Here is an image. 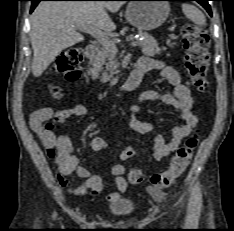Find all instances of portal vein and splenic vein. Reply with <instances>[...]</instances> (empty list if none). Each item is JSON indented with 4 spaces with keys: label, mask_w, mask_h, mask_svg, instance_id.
Masks as SVG:
<instances>
[{
    "label": "portal vein and splenic vein",
    "mask_w": 234,
    "mask_h": 231,
    "mask_svg": "<svg viewBox=\"0 0 234 231\" xmlns=\"http://www.w3.org/2000/svg\"><path fill=\"white\" fill-rule=\"evenodd\" d=\"M77 28L80 29L82 32H86L91 34L93 37L97 39V41L106 48H111L117 50L114 42L109 38L108 34L103 32L101 29L91 26V25H84V24H77ZM132 47H136L139 45L138 41H132L130 43Z\"/></svg>",
    "instance_id": "obj_1"
}]
</instances>
